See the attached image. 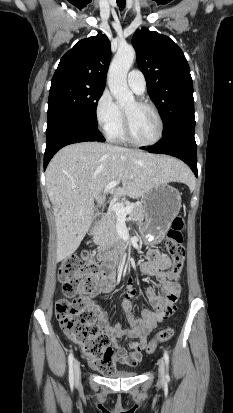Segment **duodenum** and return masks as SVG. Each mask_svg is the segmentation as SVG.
<instances>
[{
	"mask_svg": "<svg viewBox=\"0 0 233 413\" xmlns=\"http://www.w3.org/2000/svg\"><path fill=\"white\" fill-rule=\"evenodd\" d=\"M94 230L95 227H93L92 231ZM127 246L128 242L124 238L118 237L101 251V257L103 260L108 262L112 260V258L115 257L118 253L124 251Z\"/></svg>",
	"mask_w": 233,
	"mask_h": 413,
	"instance_id": "duodenum-1",
	"label": "duodenum"
}]
</instances>
